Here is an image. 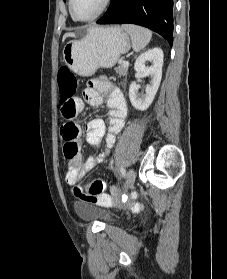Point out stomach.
<instances>
[{
    "label": "stomach",
    "mask_w": 227,
    "mask_h": 279,
    "mask_svg": "<svg viewBox=\"0 0 227 279\" xmlns=\"http://www.w3.org/2000/svg\"><path fill=\"white\" fill-rule=\"evenodd\" d=\"M63 47V61L80 76H91L99 68L113 67L130 50V38L120 27L81 29Z\"/></svg>",
    "instance_id": "1"
}]
</instances>
